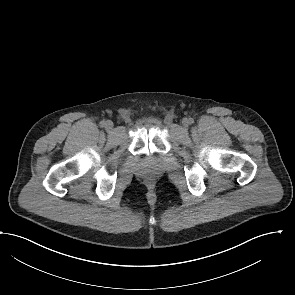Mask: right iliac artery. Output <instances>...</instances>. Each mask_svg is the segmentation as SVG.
<instances>
[{"label": "right iliac artery", "mask_w": 295, "mask_h": 295, "mask_svg": "<svg viewBox=\"0 0 295 295\" xmlns=\"http://www.w3.org/2000/svg\"><path fill=\"white\" fill-rule=\"evenodd\" d=\"M100 126H101V127H104V126H105V121H101V122H100Z\"/></svg>", "instance_id": "1"}]
</instances>
